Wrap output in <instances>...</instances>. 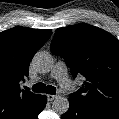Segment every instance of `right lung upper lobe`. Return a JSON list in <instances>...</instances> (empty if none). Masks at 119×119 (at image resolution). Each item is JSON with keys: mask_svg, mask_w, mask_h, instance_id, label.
<instances>
[{"mask_svg": "<svg viewBox=\"0 0 119 119\" xmlns=\"http://www.w3.org/2000/svg\"><path fill=\"white\" fill-rule=\"evenodd\" d=\"M49 29L21 26L0 33V119H32L43 95L22 90L34 54L50 38Z\"/></svg>", "mask_w": 119, "mask_h": 119, "instance_id": "1", "label": "right lung upper lobe"}]
</instances>
